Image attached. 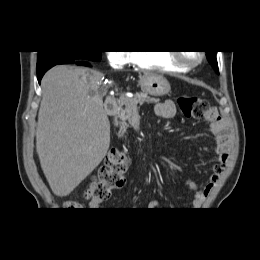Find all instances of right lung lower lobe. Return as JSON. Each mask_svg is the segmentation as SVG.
<instances>
[{
    "instance_id": "1",
    "label": "right lung lower lobe",
    "mask_w": 260,
    "mask_h": 260,
    "mask_svg": "<svg viewBox=\"0 0 260 260\" xmlns=\"http://www.w3.org/2000/svg\"><path fill=\"white\" fill-rule=\"evenodd\" d=\"M69 63H76L78 65H84V66H91L88 61L86 60H75V59H61V60H58L57 62L55 63H52L50 65H48L47 67H44L43 69L41 70H38L37 71V74H38V82L40 83L41 81V78L43 77L44 73L50 69L51 67L55 66V65H58V64H69Z\"/></svg>"
}]
</instances>
